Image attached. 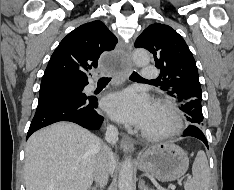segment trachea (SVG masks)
<instances>
[{"label": "trachea", "instance_id": "3493384b", "mask_svg": "<svg viewBox=\"0 0 234 190\" xmlns=\"http://www.w3.org/2000/svg\"><path fill=\"white\" fill-rule=\"evenodd\" d=\"M111 78H107V77H102L100 80L102 81H110ZM131 80H145L143 79L138 73L133 72L130 76ZM151 81H156V80H151Z\"/></svg>", "mask_w": 234, "mask_h": 190}]
</instances>
